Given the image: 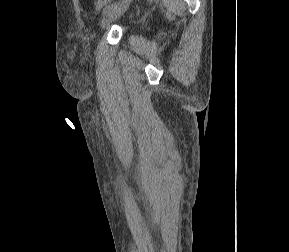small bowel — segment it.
<instances>
[{
  "instance_id": "obj_1",
  "label": "small bowel",
  "mask_w": 289,
  "mask_h": 252,
  "mask_svg": "<svg viewBox=\"0 0 289 252\" xmlns=\"http://www.w3.org/2000/svg\"><path fill=\"white\" fill-rule=\"evenodd\" d=\"M112 0H95L94 2V9L101 10L105 6H107Z\"/></svg>"
}]
</instances>
